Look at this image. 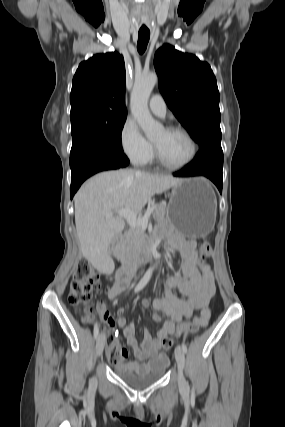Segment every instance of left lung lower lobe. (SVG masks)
Listing matches in <instances>:
<instances>
[{
	"label": "left lung lower lobe",
	"mask_w": 285,
	"mask_h": 427,
	"mask_svg": "<svg viewBox=\"0 0 285 427\" xmlns=\"http://www.w3.org/2000/svg\"><path fill=\"white\" fill-rule=\"evenodd\" d=\"M223 152L221 148H206L200 150L181 171L173 173L176 177H190L203 175L211 179L218 187L220 193L223 185Z\"/></svg>",
	"instance_id": "1"
}]
</instances>
